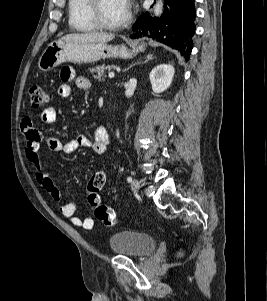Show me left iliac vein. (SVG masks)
I'll list each match as a JSON object with an SVG mask.
<instances>
[{"mask_svg": "<svg viewBox=\"0 0 267 301\" xmlns=\"http://www.w3.org/2000/svg\"><path fill=\"white\" fill-rule=\"evenodd\" d=\"M140 184L137 179H133L131 182V189L133 193L137 194L139 192Z\"/></svg>", "mask_w": 267, "mask_h": 301, "instance_id": "left-iliac-vein-1", "label": "left iliac vein"}]
</instances>
